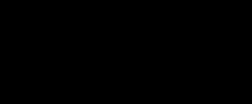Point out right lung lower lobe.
<instances>
[{
    "label": "right lung lower lobe",
    "instance_id": "98d812e1",
    "mask_svg": "<svg viewBox=\"0 0 252 104\" xmlns=\"http://www.w3.org/2000/svg\"><path fill=\"white\" fill-rule=\"evenodd\" d=\"M29 91L34 104H116L124 98L123 84L102 63L75 54L34 62Z\"/></svg>",
    "mask_w": 252,
    "mask_h": 104
}]
</instances>
